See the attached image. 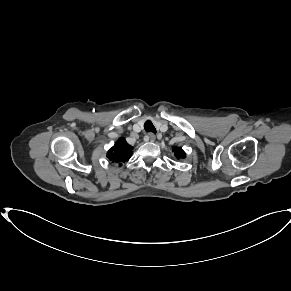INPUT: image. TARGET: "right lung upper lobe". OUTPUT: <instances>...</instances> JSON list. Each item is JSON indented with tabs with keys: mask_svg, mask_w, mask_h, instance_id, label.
Here are the masks:
<instances>
[{
	"mask_svg": "<svg viewBox=\"0 0 291 291\" xmlns=\"http://www.w3.org/2000/svg\"><path fill=\"white\" fill-rule=\"evenodd\" d=\"M132 150L133 147H131L124 138H120L115 145L110 148L107 157L113 162L119 163V166H121L122 162L130 159Z\"/></svg>",
	"mask_w": 291,
	"mask_h": 291,
	"instance_id": "obj_1",
	"label": "right lung upper lobe"
}]
</instances>
